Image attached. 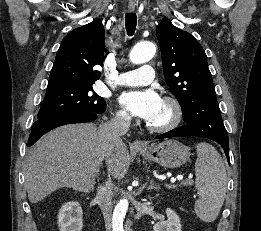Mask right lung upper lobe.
Masks as SVG:
<instances>
[{
  "label": "right lung upper lobe",
  "mask_w": 261,
  "mask_h": 231,
  "mask_svg": "<svg viewBox=\"0 0 261 231\" xmlns=\"http://www.w3.org/2000/svg\"><path fill=\"white\" fill-rule=\"evenodd\" d=\"M104 28L99 19L70 31L62 40L51 69L48 88L93 85L103 66Z\"/></svg>",
  "instance_id": "right-lung-upper-lobe-1"
}]
</instances>
